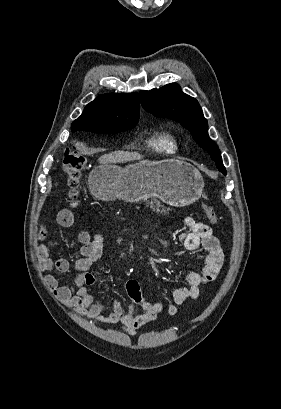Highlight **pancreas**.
Returning <instances> with one entry per match:
<instances>
[{
    "mask_svg": "<svg viewBox=\"0 0 281 409\" xmlns=\"http://www.w3.org/2000/svg\"><path fill=\"white\" fill-rule=\"evenodd\" d=\"M153 202H156L157 207H162L161 213H165L164 205H160L159 200H153ZM167 211H170V209H167Z\"/></svg>",
    "mask_w": 281,
    "mask_h": 409,
    "instance_id": "obj_1",
    "label": "pancreas"
}]
</instances>
